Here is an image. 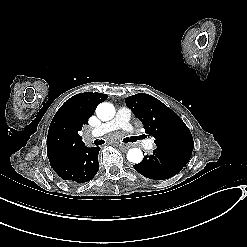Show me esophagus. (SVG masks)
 Instances as JSON below:
<instances>
[{
  "instance_id": "esophagus-1",
  "label": "esophagus",
  "mask_w": 247,
  "mask_h": 247,
  "mask_svg": "<svg viewBox=\"0 0 247 247\" xmlns=\"http://www.w3.org/2000/svg\"><path fill=\"white\" fill-rule=\"evenodd\" d=\"M117 147H118L120 150L124 151V150L129 149L131 146L128 145V144H119V145H117Z\"/></svg>"
}]
</instances>
